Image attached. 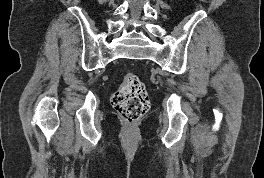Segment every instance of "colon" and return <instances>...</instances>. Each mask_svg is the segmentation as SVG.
I'll return each instance as SVG.
<instances>
[{
  "mask_svg": "<svg viewBox=\"0 0 264 178\" xmlns=\"http://www.w3.org/2000/svg\"><path fill=\"white\" fill-rule=\"evenodd\" d=\"M113 108L129 123L140 120L149 108V97L144 83L133 73L124 75L111 100Z\"/></svg>",
  "mask_w": 264,
  "mask_h": 178,
  "instance_id": "colon-1",
  "label": "colon"
}]
</instances>
